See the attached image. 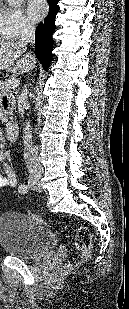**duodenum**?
I'll return each mask as SVG.
<instances>
[{
  "instance_id": "obj_1",
  "label": "duodenum",
  "mask_w": 129,
  "mask_h": 309,
  "mask_svg": "<svg viewBox=\"0 0 129 309\" xmlns=\"http://www.w3.org/2000/svg\"><path fill=\"white\" fill-rule=\"evenodd\" d=\"M3 108L8 109L7 102L3 103ZM19 127L15 120L10 119L5 124V134L8 140L14 141L18 136Z\"/></svg>"
}]
</instances>
